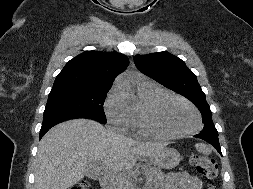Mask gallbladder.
I'll list each match as a JSON object with an SVG mask.
<instances>
[{"mask_svg":"<svg viewBox=\"0 0 253 189\" xmlns=\"http://www.w3.org/2000/svg\"><path fill=\"white\" fill-rule=\"evenodd\" d=\"M86 175L89 176V177H92V178L96 177V174L94 172H91V171L87 172Z\"/></svg>","mask_w":253,"mask_h":189,"instance_id":"gallbladder-1","label":"gallbladder"}]
</instances>
